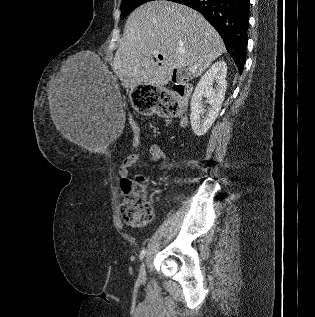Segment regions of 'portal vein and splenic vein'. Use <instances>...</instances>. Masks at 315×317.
I'll return each mask as SVG.
<instances>
[{"mask_svg": "<svg viewBox=\"0 0 315 317\" xmlns=\"http://www.w3.org/2000/svg\"><path fill=\"white\" fill-rule=\"evenodd\" d=\"M154 54H155V53H154ZM195 70H196L195 67H191V68L189 69L190 72H194Z\"/></svg>", "mask_w": 315, "mask_h": 317, "instance_id": "portal-vein-and-splenic-vein-1", "label": "portal vein and splenic vein"}]
</instances>
